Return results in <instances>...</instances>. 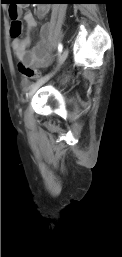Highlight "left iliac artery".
I'll return each mask as SVG.
<instances>
[{
	"label": "left iliac artery",
	"instance_id": "1",
	"mask_svg": "<svg viewBox=\"0 0 122 257\" xmlns=\"http://www.w3.org/2000/svg\"><path fill=\"white\" fill-rule=\"evenodd\" d=\"M62 50H63V45H62V43H59L58 44V52L61 53Z\"/></svg>",
	"mask_w": 122,
	"mask_h": 257
}]
</instances>
